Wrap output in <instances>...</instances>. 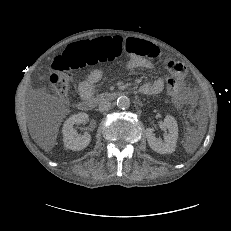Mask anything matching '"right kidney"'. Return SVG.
<instances>
[{
  "label": "right kidney",
  "mask_w": 231,
  "mask_h": 231,
  "mask_svg": "<svg viewBox=\"0 0 231 231\" xmlns=\"http://www.w3.org/2000/svg\"><path fill=\"white\" fill-rule=\"evenodd\" d=\"M88 120L86 113H78L70 116L63 124V142L67 149L80 151L85 149L91 141V135L85 132L82 136H77L74 129L75 124L85 123Z\"/></svg>",
  "instance_id": "right-kidney-1"
}]
</instances>
